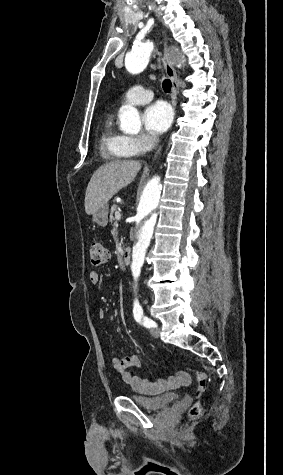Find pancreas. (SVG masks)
Wrapping results in <instances>:
<instances>
[{
  "label": "pancreas",
  "mask_w": 283,
  "mask_h": 475,
  "mask_svg": "<svg viewBox=\"0 0 283 475\" xmlns=\"http://www.w3.org/2000/svg\"><path fill=\"white\" fill-rule=\"evenodd\" d=\"M114 212H118L117 206H112V212H111V214H114ZM112 220H120V218H113V216H111L110 222H112Z\"/></svg>",
  "instance_id": "1"
}]
</instances>
